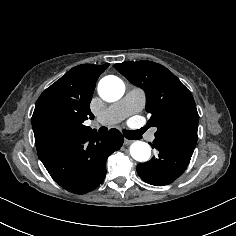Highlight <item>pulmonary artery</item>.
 I'll return each instance as SVG.
<instances>
[{"label":"pulmonary artery","instance_id":"e3ab8cb5","mask_svg":"<svg viewBox=\"0 0 236 236\" xmlns=\"http://www.w3.org/2000/svg\"><path fill=\"white\" fill-rule=\"evenodd\" d=\"M124 117H125L124 115L119 116V117L113 122V124H116V123L120 122ZM95 124H96V123H95ZM155 132H156V130H153V131H151V132L148 133V139H149L150 141L155 140Z\"/></svg>","mask_w":236,"mask_h":236}]
</instances>
